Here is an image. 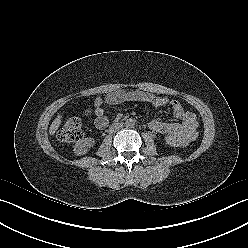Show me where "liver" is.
I'll list each match as a JSON object with an SVG mask.
<instances>
[{
    "label": "liver",
    "instance_id": "liver-1",
    "mask_svg": "<svg viewBox=\"0 0 248 248\" xmlns=\"http://www.w3.org/2000/svg\"><path fill=\"white\" fill-rule=\"evenodd\" d=\"M61 118H62V115L59 114L55 119L54 121L52 122V124L50 125V128H49V134L50 135H54L55 132L58 130L60 124H61Z\"/></svg>",
    "mask_w": 248,
    "mask_h": 248
}]
</instances>
